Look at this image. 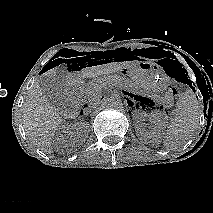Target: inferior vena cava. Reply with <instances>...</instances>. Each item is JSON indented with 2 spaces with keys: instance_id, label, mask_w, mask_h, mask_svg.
Instances as JSON below:
<instances>
[{
  "instance_id": "1",
  "label": "inferior vena cava",
  "mask_w": 213,
  "mask_h": 213,
  "mask_svg": "<svg viewBox=\"0 0 213 213\" xmlns=\"http://www.w3.org/2000/svg\"><path fill=\"white\" fill-rule=\"evenodd\" d=\"M90 111H91V109H90V108H88V109H87V112H90Z\"/></svg>"
}]
</instances>
